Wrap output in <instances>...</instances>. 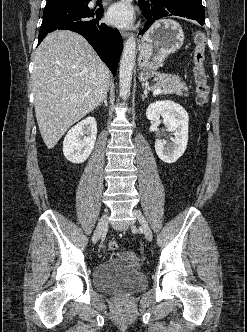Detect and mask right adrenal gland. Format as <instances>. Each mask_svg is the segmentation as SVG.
I'll return each mask as SVG.
<instances>
[{
  "instance_id": "obj_1",
  "label": "right adrenal gland",
  "mask_w": 247,
  "mask_h": 332,
  "mask_svg": "<svg viewBox=\"0 0 247 332\" xmlns=\"http://www.w3.org/2000/svg\"><path fill=\"white\" fill-rule=\"evenodd\" d=\"M104 103V105L107 107L108 103H107V95L104 97L103 101L99 104V106H101Z\"/></svg>"
}]
</instances>
